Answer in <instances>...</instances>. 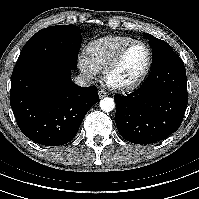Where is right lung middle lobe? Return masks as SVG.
Segmentation results:
<instances>
[{
  "instance_id": "obj_1",
  "label": "right lung middle lobe",
  "mask_w": 199,
  "mask_h": 199,
  "mask_svg": "<svg viewBox=\"0 0 199 199\" xmlns=\"http://www.w3.org/2000/svg\"><path fill=\"white\" fill-rule=\"evenodd\" d=\"M82 37L75 25H56L34 34L24 45L13 73L37 63L55 62L74 70Z\"/></svg>"
}]
</instances>
